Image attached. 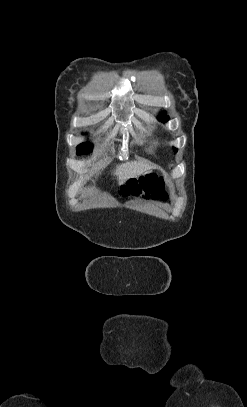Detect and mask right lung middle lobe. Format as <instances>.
<instances>
[{"label":"right lung middle lobe","mask_w":247,"mask_h":407,"mask_svg":"<svg viewBox=\"0 0 247 407\" xmlns=\"http://www.w3.org/2000/svg\"><path fill=\"white\" fill-rule=\"evenodd\" d=\"M92 149L93 146L90 143H82L77 147V154H88Z\"/></svg>","instance_id":"1"}]
</instances>
